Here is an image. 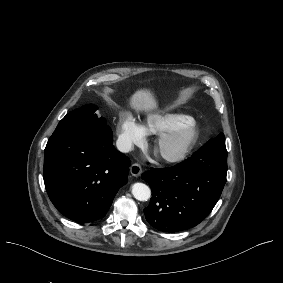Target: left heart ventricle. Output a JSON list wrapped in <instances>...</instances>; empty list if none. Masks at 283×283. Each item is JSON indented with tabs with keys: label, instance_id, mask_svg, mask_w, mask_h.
<instances>
[{
	"label": "left heart ventricle",
	"instance_id": "b2bd125f",
	"mask_svg": "<svg viewBox=\"0 0 283 283\" xmlns=\"http://www.w3.org/2000/svg\"><path fill=\"white\" fill-rule=\"evenodd\" d=\"M182 145V138H177L176 140L157 143V147L160 151L161 159L177 154Z\"/></svg>",
	"mask_w": 283,
	"mask_h": 283
}]
</instances>
